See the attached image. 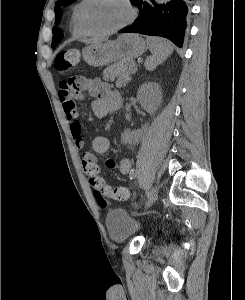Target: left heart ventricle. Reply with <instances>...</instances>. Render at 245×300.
I'll return each mask as SVG.
<instances>
[{"instance_id": "left-heart-ventricle-1", "label": "left heart ventricle", "mask_w": 245, "mask_h": 300, "mask_svg": "<svg viewBox=\"0 0 245 300\" xmlns=\"http://www.w3.org/2000/svg\"><path fill=\"white\" fill-rule=\"evenodd\" d=\"M127 16L122 0H92L83 11V22L90 31H105L123 23Z\"/></svg>"}]
</instances>
